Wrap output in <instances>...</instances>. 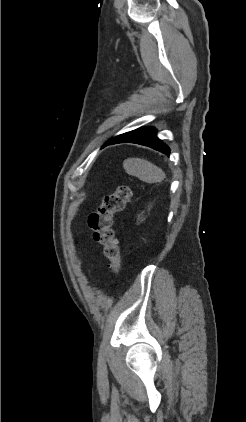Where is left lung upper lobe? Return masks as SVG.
<instances>
[{
    "label": "left lung upper lobe",
    "instance_id": "1",
    "mask_svg": "<svg viewBox=\"0 0 246 422\" xmlns=\"http://www.w3.org/2000/svg\"><path fill=\"white\" fill-rule=\"evenodd\" d=\"M118 136H116V137H114V138H112V139H115V138H117Z\"/></svg>",
    "mask_w": 246,
    "mask_h": 422
}]
</instances>
